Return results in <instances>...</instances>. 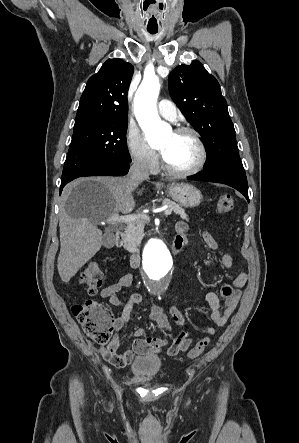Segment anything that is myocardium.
Wrapping results in <instances>:
<instances>
[{"instance_id": "obj_1", "label": "myocardium", "mask_w": 299, "mask_h": 443, "mask_svg": "<svg viewBox=\"0 0 299 443\" xmlns=\"http://www.w3.org/2000/svg\"><path fill=\"white\" fill-rule=\"evenodd\" d=\"M175 134H189L193 137V139L196 142L197 148H198V158L197 161L195 162V164L193 166H191L188 169L185 170H175L172 169L171 167H169L161 153H160V165L162 170L172 176V177H176V178H183V177H188L191 175H194L196 173H198L205 165L206 160H207V151H206V147L205 144L199 134V132L192 128V127H188V126H182V127H178L173 131Z\"/></svg>"}]
</instances>
